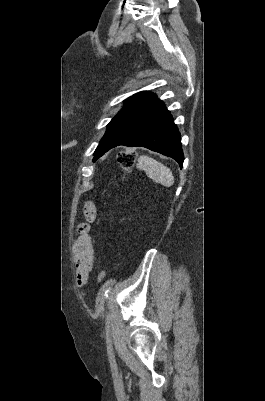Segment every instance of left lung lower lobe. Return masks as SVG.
<instances>
[{
  "instance_id": "left-lung-lower-lobe-1",
  "label": "left lung lower lobe",
  "mask_w": 265,
  "mask_h": 401,
  "mask_svg": "<svg viewBox=\"0 0 265 401\" xmlns=\"http://www.w3.org/2000/svg\"><path fill=\"white\" fill-rule=\"evenodd\" d=\"M119 145L141 146L175 159L182 168L181 137L165 105L155 99L100 142L94 161Z\"/></svg>"
}]
</instances>
